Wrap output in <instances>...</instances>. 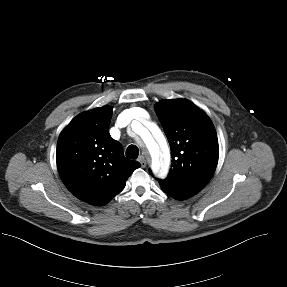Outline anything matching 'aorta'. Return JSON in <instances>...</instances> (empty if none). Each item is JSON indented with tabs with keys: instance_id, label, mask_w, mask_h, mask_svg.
<instances>
[{
	"instance_id": "762f6f07",
	"label": "aorta",
	"mask_w": 287,
	"mask_h": 287,
	"mask_svg": "<svg viewBox=\"0 0 287 287\" xmlns=\"http://www.w3.org/2000/svg\"><path fill=\"white\" fill-rule=\"evenodd\" d=\"M150 126L154 129L158 144L154 140H150L147 143V149L151 156V169L154 173H159L162 177H165L169 170L170 153L166 145V141L158 129V127L151 123Z\"/></svg>"
}]
</instances>
